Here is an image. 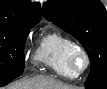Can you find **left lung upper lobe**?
<instances>
[{"label":"left lung upper lobe","instance_id":"1","mask_svg":"<svg viewBox=\"0 0 107 89\" xmlns=\"http://www.w3.org/2000/svg\"><path fill=\"white\" fill-rule=\"evenodd\" d=\"M43 15L73 35L90 58L85 86L107 79V14L99 0H50Z\"/></svg>","mask_w":107,"mask_h":89}]
</instances>
